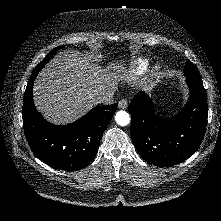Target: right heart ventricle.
Instances as JSON below:
<instances>
[{
	"label": "right heart ventricle",
	"instance_id": "e07e8e85",
	"mask_svg": "<svg viewBox=\"0 0 221 221\" xmlns=\"http://www.w3.org/2000/svg\"><path fill=\"white\" fill-rule=\"evenodd\" d=\"M149 66V61L147 59L138 58L134 60L129 68V76L131 78H137L144 74Z\"/></svg>",
	"mask_w": 221,
	"mask_h": 221
}]
</instances>
